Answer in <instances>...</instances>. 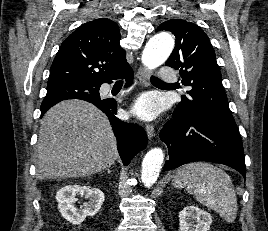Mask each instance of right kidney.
<instances>
[{"mask_svg": "<svg viewBox=\"0 0 268 231\" xmlns=\"http://www.w3.org/2000/svg\"><path fill=\"white\" fill-rule=\"evenodd\" d=\"M77 195L85 196V202L80 208L75 206ZM58 210L67 221L74 225H80L87 216H94L100 210L104 202V193L91 186L77 184L62 187L56 194Z\"/></svg>", "mask_w": 268, "mask_h": 231, "instance_id": "ca27d5eb", "label": "right kidney"}]
</instances>
